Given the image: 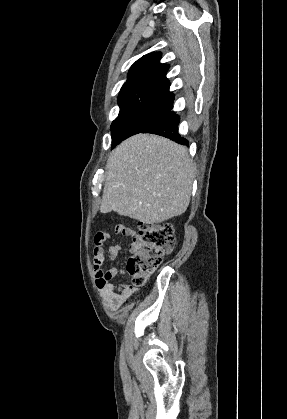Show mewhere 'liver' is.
<instances>
[{"instance_id": "obj_1", "label": "liver", "mask_w": 287, "mask_h": 419, "mask_svg": "<svg viewBox=\"0 0 287 419\" xmlns=\"http://www.w3.org/2000/svg\"><path fill=\"white\" fill-rule=\"evenodd\" d=\"M100 212L113 210L146 224L183 214L189 206L194 164L185 146L137 134L109 156Z\"/></svg>"}]
</instances>
